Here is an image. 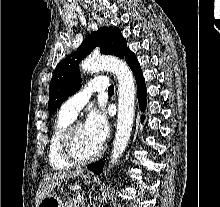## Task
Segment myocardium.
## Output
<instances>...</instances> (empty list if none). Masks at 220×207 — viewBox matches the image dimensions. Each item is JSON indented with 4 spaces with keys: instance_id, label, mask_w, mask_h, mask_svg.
<instances>
[{
    "instance_id": "myocardium-1",
    "label": "myocardium",
    "mask_w": 220,
    "mask_h": 207,
    "mask_svg": "<svg viewBox=\"0 0 220 207\" xmlns=\"http://www.w3.org/2000/svg\"><path fill=\"white\" fill-rule=\"evenodd\" d=\"M77 124H70L64 131L61 141H60V148H61V153L63 157L73 165H85L88 163H91L95 160H97L103 153V146H100L99 149L95 154H93L90 157L87 158H81L79 157L75 150H74V145H73V133H74V128L76 127Z\"/></svg>"
}]
</instances>
